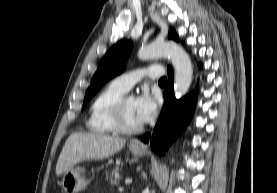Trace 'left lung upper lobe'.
<instances>
[{
  "mask_svg": "<svg viewBox=\"0 0 277 193\" xmlns=\"http://www.w3.org/2000/svg\"><path fill=\"white\" fill-rule=\"evenodd\" d=\"M168 38L178 41L177 34L171 28L169 29ZM132 46L131 41L124 40L117 43V45H114L106 53L92 78L90 87L86 91L82 109L86 106L91 97L97 93L102 85L123 72L131 53Z\"/></svg>",
  "mask_w": 277,
  "mask_h": 193,
  "instance_id": "obj_1",
  "label": "left lung upper lobe"
}]
</instances>
